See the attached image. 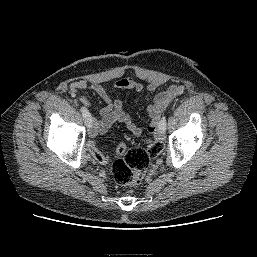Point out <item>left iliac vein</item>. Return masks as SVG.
<instances>
[{
    "instance_id": "obj_1",
    "label": "left iliac vein",
    "mask_w": 257,
    "mask_h": 257,
    "mask_svg": "<svg viewBox=\"0 0 257 257\" xmlns=\"http://www.w3.org/2000/svg\"><path fill=\"white\" fill-rule=\"evenodd\" d=\"M156 138L159 140V141H164L165 140V130L163 129H158L157 132H156Z\"/></svg>"
}]
</instances>
